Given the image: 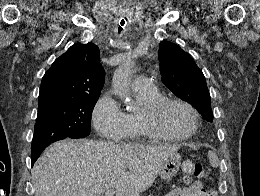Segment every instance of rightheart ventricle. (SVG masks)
Returning <instances> with one entry per match:
<instances>
[{
    "instance_id": "right-heart-ventricle-1",
    "label": "right heart ventricle",
    "mask_w": 260,
    "mask_h": 196,
    "mask_svg": "<svg viewBox=\"0 0 260 196\" xmlns=\"http://www.w3.org/2000/svg\"><path fill=\"white\" fill-rule=\"evenodd\" d=\"M133 91L136 95V98H138L142 103V108L148 104H151L161 98H163V94L154 86H147L145 88H136L133 86ZM141 108V110H142ZM137 112H131L128 114L129 118V128L134 130H141L142 134L138 137L130 138L129 140H126V143H137L141 141L144 138H153L148 133L144 132L140 123H139V113Z\"/></svg>"
}]
</instances>
